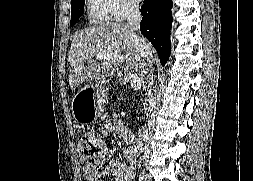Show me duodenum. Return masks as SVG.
Returning a JSON list of instances; mask_svg holds the SVG:
<instances>
[{
  "instance_id": "410a0bca",
  "label": "duodenum",
  "mask_w": 253,
  "mask_h": 181,
  "mask_svg": "<svg viewBox=\"0 0 253 181\" xmlns=\"http://www.w3.org/2000/svg\"><path fill=\"white\" fill-rule=\"evenodd\" d=\"M144 134H146V130H143V131H142V136H143Z\"/></svg>"
}]
</instances>
